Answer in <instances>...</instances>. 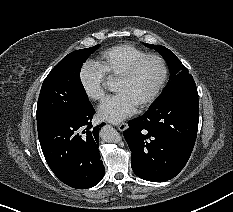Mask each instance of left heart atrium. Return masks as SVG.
Wrapping results in <instances>:
<instances>
[{
  "label": "left heart atrium",
  "mask_w": 233,
  "mask_h": 212,
  "mask_svg": "<svg viewBox=\"0 0 233 212\" xmlns=\"http://www.w3.org/2000/svg\"><path fill=\"white\" fill-rule=\"evenodd\" d=\"M136 107L135 103L127 94L118 93L115 96L107 98L100 104L98 115L102 120L119 122L132 115Z\"/></svg>",
  "instance_id": "1"
}]
</instances>
